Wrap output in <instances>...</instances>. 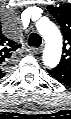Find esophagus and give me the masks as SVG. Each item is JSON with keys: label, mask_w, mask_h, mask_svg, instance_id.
<instances>
[{"label": "esophagus", "mask_w": 71, "mask_h": 119, "mask_svg": "<svg viewBox=\"0 0 71 119\" xmlns=\"http://www.w3.org/2000/svg\"><path fill=\"white\" fill-rule=\"evenodd\" d=\"M42 50H43V46L31 48V52L34 54H39L42 52Z\"/></svg>", "instance_id": "1"}]
</instances>
